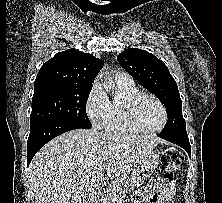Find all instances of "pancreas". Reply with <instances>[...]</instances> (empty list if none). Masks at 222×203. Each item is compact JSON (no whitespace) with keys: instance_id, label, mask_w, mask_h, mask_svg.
<instances>
[{"instance_id":"pancreas-1","label":"pancreas","mask_w":222,"mask_h":203,"mask_svg":"<svg viewBox=\"0 0 222 203\" xmlns=\"http://www.w3.org/2000/svg\"><path fill=\"white\" fill-rule=\"evenodd\" d=\"M123 182L121 183H114L112 186L109 187L107 190V199L108 202L105 203H113V200L119 198L120 195L123 193L122 188Z\"/></svg>"}]
</instances>
